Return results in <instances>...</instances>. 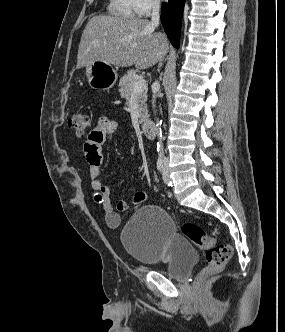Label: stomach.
<instances>
[{
  "label": "stomach",
  "instance_id": "stomach-1",
  "mask_svg": "<svg viewBox=\"0 0 285 332\" xmlns=\"http://www.w3.org/2000/svg\"><path fill=\"white\" fill-rule=\"evenodd\" d=\"M86 77L91 88L105 91L115 85L118 74L111 65L96 61L86 66Z\"/></svg>",
  "mask_w": 285,
  "mask_h": 332
}]
</instances>
